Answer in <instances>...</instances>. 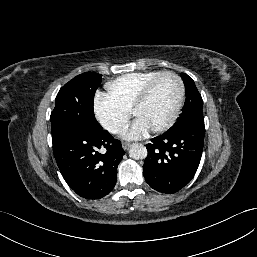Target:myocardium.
Segmentation results:
<instances>
[{
    "label": "myocardium",
    "instance_id": "obj_1",
    "mask_svg": "<svg viewBox=\"0 0 257 257\" xmlns=\"http://www.w3.org/2000/svg\"><path fill=\"white\" fill-rule=\"evenodd\" d=\"M166 76H170L173 77L177 84H178V100L177 103L175 105V108L171 114V116L169 117V119L163 123L162 125L152 129L151 131L154 133H160V132H164L166 130H168L170 127L173 126V124L176 122V120L179 117V114L181 112V109L183 107V103H184V98H185V85L184 82L182 80V78L175 72L172 71H165L160 73L159 75H157L154 79H152L141 91V93L139 94V96L137 97L131 112L132 115L135 116V114L137 113V111L147 102V100L149 99L154 87L156 86V84L163 78Z\"/></svg>",
    "mask_w": 257,
    "mask_h": 257
}]
</instances>
